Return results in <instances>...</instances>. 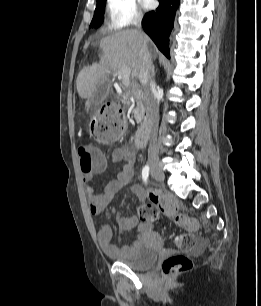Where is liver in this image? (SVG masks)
Returning a JSON list of instances; mask_svg holds the SVG:
<instances>
[{
    "label": "liver",
    "instance_id": "obj_1",
    "mask_svg": "<svg viewBox=\"0 0 261 306\" xmlns=\"http://www.w3.org/2000/svg\"><path fill=\"white\" fill-rule=\"evenodd\" d=\"M149 42V37L136 29L123 30L100 41L103 53L100 62L84 67L76 80L79 96L86 99L87 112L97 86L110 72L118 74L121 69L130 68L133 79L139 76V50Z\"/></svg>",
    "mask_w": 261,
    "mask_h": 306
}]
</instances>
